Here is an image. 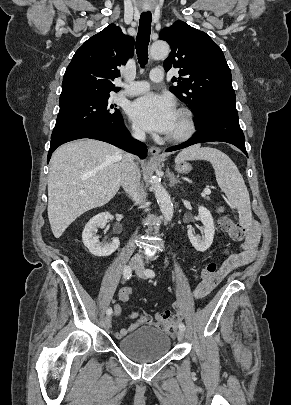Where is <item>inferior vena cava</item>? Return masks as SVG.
Wrapping results in <instances>:
<instances>
[{
    "mask_svg": "<svg viewBox=\"0 0 291 405\" xmlns=\"http://www.w3.org/2000/svg\"><path fill=\"white\" fill-rule=\"evenodd\" d=\"M133 137L144 141L145 132L140 129H134ZM140 171L137 165L134 163V157L132 154H124L121 162V177L120 183L125 192L132 198L135 203L141 206L146 205V192L140 184ZM135 261L142 262L141 254H137L134 257Z\"/></svg>",
    "mask_w": 291,
    "mask_h": 405,
    "instance_id": "602c4592",
    "label": "inferior vena cava"
}]
</instances>
